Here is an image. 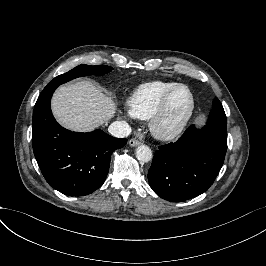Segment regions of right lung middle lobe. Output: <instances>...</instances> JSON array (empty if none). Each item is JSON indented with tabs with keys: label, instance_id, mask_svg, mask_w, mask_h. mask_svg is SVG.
<instances>
[{
	"label": "right lung middle lobe",
	"instance_id": "dd1d6c3e",
	"mask_svg": "<svg viewBox=\"0 0 266 266\" xmlns=\"http://www.w3.org/2000/svg\"><path fill=\"white\" fill-rule=\"evenodd\" d=\"M112 70V67L105 65L89 66V65H79L69 72L59 75L54 78L48 85L53 84H63L77 77H83L87 75H104Z\"/></svg>",
	"mask_w": 266,
	"mask_h": 266
}]
</instances>
